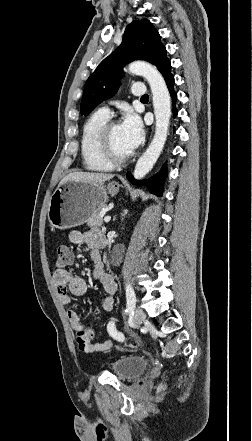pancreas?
Masks as SVG:
<instances>
[{"mask_svg":"<svg viewBox=\"0 0 252 441\" xmlns=\"http://www.w3.org/2000/svg\"><path fill=\"white\" fill-rule=\"evenodd\" d=\"M106 206H102L97 213L93 214L88 220H87V224L89 226H96V227H102L103 226V219L101 217V211L105 208Z\"/></svg>","mask_w":252,"mask_h":441,"instance_id":"1","label":"pancreas"}]
</instances>
